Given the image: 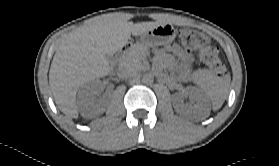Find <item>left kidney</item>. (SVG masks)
Returning a JSON list of instances; mask_svg holds the SVG:
<instances>
[{
	"label": "left kidney",
	"mask_w": 279,
	"mask_h": 166,
	"mask_svg": "<svg viewBox=\"0 0 279 166\" xmlns=\"http://www.w3.org/2000/svg\"><path fill=\"white\" fill-rule=\"evenodd\" d=\"M185 97L190 99L191 106L196 109H200L205 106V97L202 91L195 87H188L185 93H177L173 95V104L176 112L183 113L188 109V105L183 102Z\"/></svg>",
	"instance_id": "1"
}]
</instances>
